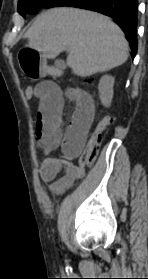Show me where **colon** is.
I'll return each instance as SVG.
<instances>
[{"mask_svg":"<svg viewBox=\"0 0 148 279\" xmlns=\"http://www.w3.org/2000/svg\"><path fill=\"white\" fill-rule=\"evenodd\" d=\"M88 83L92 82V79H87ZM24 93L27 98H33L34 96V86L28 85L24 89ZM115 117L113 115L107 114L105 115L100 122L98 123L93 136L90 138L87 143L80 159H79V167L87 168L90 167L98 154V150L103 141V132L104 130L114 123Z\"/></svg>","mask_w":148,"mask_h":279,"instance_id":"obj_1","label":"colon"}]
</instances>
